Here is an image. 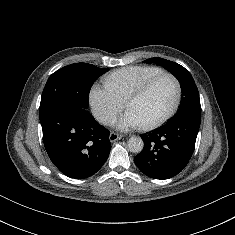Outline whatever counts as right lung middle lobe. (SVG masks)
<instances>
[{
    "label": "right lung middle lobe",
    "mask_w": 235,
    "mask_h": 235,
    "mask_svg": "<svg viewBox=\"0 0 235 235\" xmlns=\"http://www.w3.org/2000/svg\"><path fill=\"white\" fill-rule=\"evenodd\" d=\"M108 70L87 63H75L54 72L44 87L39 115L62 103L87 109L93 83Z\"/></svg>",
    "instance_id": "dd1d6c3e"
}]
</instances>
